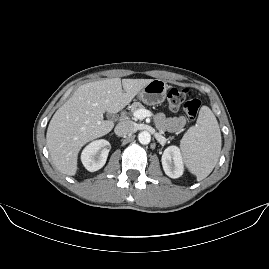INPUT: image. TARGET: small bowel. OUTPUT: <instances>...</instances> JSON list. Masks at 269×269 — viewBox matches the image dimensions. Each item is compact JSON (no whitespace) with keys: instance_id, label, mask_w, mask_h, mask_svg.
Masks as SVG:
<instances>
[{"instance_id":"c3829d8e","label":"small bowel","mask_w":269,"mask_h":269,"mask_svg":"<svg viewBox=\"0 0 269 269\" xmlns=\"http://www.w3.org/2000/svg\"><path fill=\"white\" fill-rule=\"evenodd\" d=\"M156 118L160 127H168L171 130H179L185 125V118L183 116L166 119L163 114L159 113Z\"/></svg>"}]
</instances>
